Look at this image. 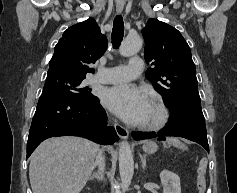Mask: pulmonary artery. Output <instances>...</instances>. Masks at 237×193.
I'll return each mask as SVG.
<instances>
[{"instance_id":"pulmonary-artery-1","label":"pulmonary artery","mask_w":237,"mask_h":193,"mask_svg":"<svg viewBox=\"0 0 237 193\" xmlns=\"http://www.w3.org/2000/svg\"><path fill=\"white\" fill-rule=\"evenodd\" d=\"M143 68L141 58H132L126 66H116L111 68H99L98 73L93 76V81L97 83L122 84L137 77Z\"/></svg>"}]
</instances>
